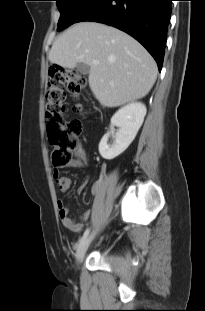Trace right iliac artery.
I'll return each instance as SVG.
<instances>
[{
    "label": "right iliac artery",
    "mask_w": 205,
    "mask_h": 311,
    "mask_svg": "<svg viewBox=\"0 0 205 311\" xmlns=\"http://www.w3.org/2000/svg\"><path fill=\"white\" fill-rule=\"evenodd\" d=\"M89 232H90V229H87V230L83 233L82 237H81L80 240H79L80 243L89 235Z\"/></svg>",
    "instance_id": "1"
}]
</instances>
